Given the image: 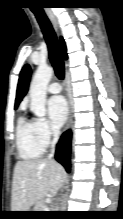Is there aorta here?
<instances>
[{
    "instance_id": "obj_1",
    "label": "aorta",
    "mask_w": 123,
    "mask_h": 219,
    "mask_svg": "<svg viewBox=\"0 0 123 219\" xmlns=\"http://www.w3.org/2000/svg\"><path fill=\"white\" fill-rule=\"evenodd\" d=\"M53 68L47 65H40L31 82L30 95V110L36 116H44L46 112V89L53 76Z\"/></svg>"
}]
</instances>
